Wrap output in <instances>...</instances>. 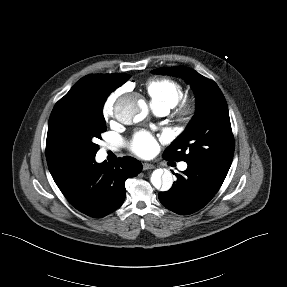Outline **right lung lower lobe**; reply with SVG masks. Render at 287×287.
<instances>
[{
    "mask_svg": "<svg viewBox=\"0 0 287 287\" xmlns=\"http://www.w3.org/2000/svg\"><path fill=\"white\" fill-rule=\"evenodd\" d=\"M141 170V162L130 156L101 164L93 157L78 165L57 186L77 210L101 218L122 205L125 180L137 176Z\"/></svg>",
    "mask_w": 287,
    "mask_h": 287,
    "instance_id": "98d812e1",
    "label": "right lung lower lobe"
}]
</instances>
